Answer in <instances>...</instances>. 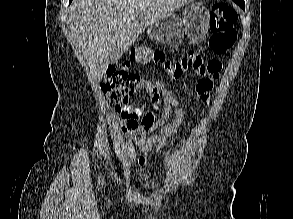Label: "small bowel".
Here are the masks:
<instances>
[{"label":"small bowel","mask_w":293,"mask_h":219,"mask_svg":"<svg viewBox=\"0 0 293 219\" xmlns=\"http://www.w3.org/2000/svg\"><path fill=\"white\" fill-rule=\"evenodd\" d=\"M198 81L195 90L192 91L188 86L185 91L189 97L197 96L204 102L208 100L211 86L205 90H200ZM145 92L150 97L152 110L143 113L142 108L132 109L130 106L124 108L123 113L127 118V123L124 126L125 132H130L136 135L137 146L144 155L139 159V164L146 162V158L167 145L168 140L177 133L178 126L182 121L184 111L177 101L173 93L157 81H143L142 83ZM172 108H175L176 118L170 126H164L172 113ZM159 110V115L155 112ZM161 129V134L145 138L144 133Z\"/></svg>","instance_id":"small-bowel-1"}]
</instances>
